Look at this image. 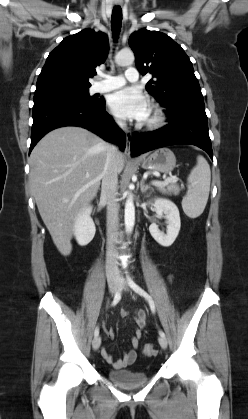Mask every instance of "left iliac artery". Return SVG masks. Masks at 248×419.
<instances>
[{"label": "left iliac artery", "instance_id": "1", "mask_svg": "<svg viewBox=\"0 0 248 419\" xmlns=\"http://www.w3.org/2000/svg\"><path fill=\"white\" fill-rule=\"evenodd\" d=\"M128 284L136 293L143 296L148 301L151 311L154 313L155 304L152 297L146 291H144L139 285H137L129 276H128ZM159 335L162 337H165V333L162 330H159Z\"/></svg>", "mask_w": 248, "mask_h": 419}]
</instances>
